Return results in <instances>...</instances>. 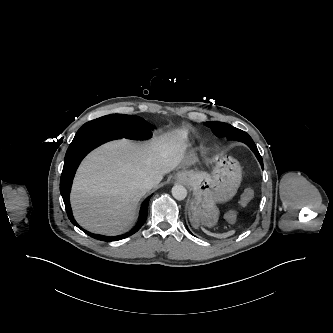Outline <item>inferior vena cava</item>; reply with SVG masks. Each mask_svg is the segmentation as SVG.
Listing matches in <instances>:
<instances>
[{
    "label": "inferior vena cava",
    "mask_w": 333,
    "mask_h": 333,
    "mask_svg": "<svg viewBox=\"0 0 333 333\" xmlns=\"http://www.w3.org/2000/svg\"><path fill=\"white\" fill-rule=\"evenodd\" d=\"M138 187L141 191L147 192L153 188V181L150 178L142 179L138 183Z\"/></svg>",
    "instance_id": "1"
}]
</instances>
